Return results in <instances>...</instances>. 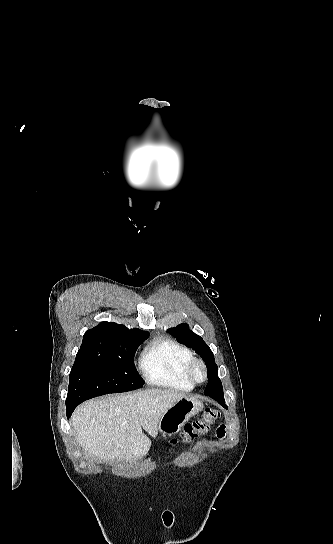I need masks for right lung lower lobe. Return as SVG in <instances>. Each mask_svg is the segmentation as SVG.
<instances>
[{"label":"right lung lower lobe","instance_id":"98d812e1","mask_svg":"<svg viewBox=\"0 0 333 544\" xmlns=\"http://www.w3.org/2000/svg\"><path fill=\"white\" fill-rule=\"evenodd\" d=\"M78 405H79V404L66 405V408H67V417H68V418L72 415L74 409H75Z\"/></svg>","mask_w":333,"mask_h":544}]
</instances>
